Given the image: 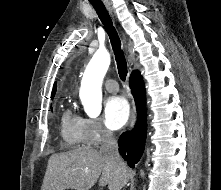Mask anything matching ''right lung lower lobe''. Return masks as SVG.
Returning <instances> with one entry per match:
<instances>
[{
  "mask_svg": "<svg viewBox=\"0 0 221 190\" xmlns=\"http://www.w3.org/2000/svg\"><path fill=\"white\" fill-rule=\"evenodd\" d=\"M130 86L135 98L138 119L132 131L123 133L119 140V152L131 168L140 160L144 151L146 137V98L140 74L131 75Z\"/></svg>",
  "mask_w": 221,
  "mask_h": 190,
  "instance_id": "1",
  "label": "right lung lower lobe"
}]
</instances>
